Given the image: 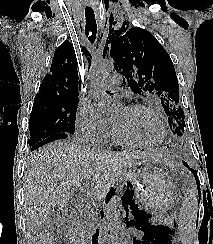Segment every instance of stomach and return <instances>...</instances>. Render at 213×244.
Returning a JSON list of instances; mask_svg holds the SVG:
<instances>
[{
	"label": "stomach",
	"mask_w": 213,
	"mask_h": 244,
	"mask_svg": "<svg viewBox=\"0 0 213 244\" xmlns=\"http://www.w3.org/2000/svg\"><path fill=\"white\" fill-rule=\"evenodd\" d=\"M138 161L125 173L126 181L133 187L143 205L153 213H168L179 200V189L173 179L156 163Z\"/></svg>",
	"instance_id": "obj_1"
}]
</instances>
